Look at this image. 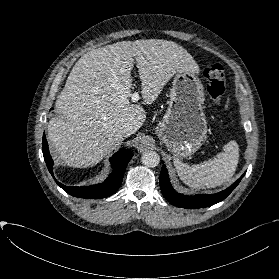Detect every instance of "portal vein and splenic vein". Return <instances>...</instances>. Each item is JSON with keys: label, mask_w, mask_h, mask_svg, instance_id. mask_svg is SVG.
<instances>
[{"label": "portal vein and splenic vein", "mask_w": 279, "mask_h": 279, "mask_svg": "<svg viewBox=\"0 0 279 279\" xmlns=\"http://www.w3.org/2000/svg\"><path fill=\"white\" fill-rule=\"evenodd\" d=\"M131 100H132V102H136L139 100L138 92H134L133 94H131Z\"/></svg>", "instance_id": "obj_1"}]
</instances>
